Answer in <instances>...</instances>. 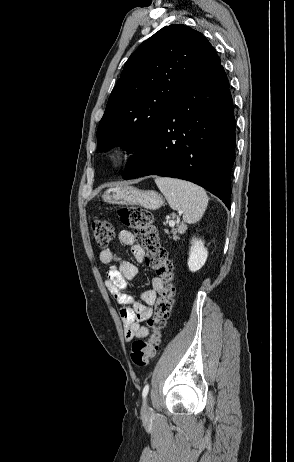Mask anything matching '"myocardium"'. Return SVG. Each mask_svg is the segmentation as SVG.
Segmentation results:
<instances>
[{"label":"myocardium","mask_w":294,"mask_h":462,"mask_svg":"<svg viewBox=\"0 0 294 462\" xmlns=\"http://www.w3.org/2000/svg\"><path fill=\"white\" fill-rule=\"evenodd\" d=\"M134 153V149L128 144H119L115 146L111 153L110 157L115 163H122L131 157Z\"/></svg>","instance_id":"myocardium-1"}]
</instances>
